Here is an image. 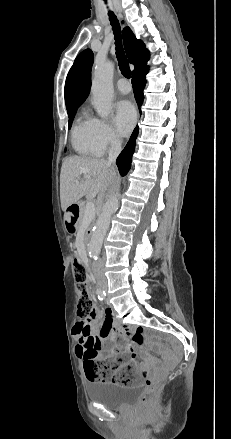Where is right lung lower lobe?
<instances>
[{
    "mask_svg": "<svg viewBox=\"0 0 231 439\" xmlns=\"http://www.w3.org/2000/svg\"><path fill=\"white\" fill-rule=\"evenodd\" d=\"M148 73V66L145 65L141 68H139L138 70H136L135 72H133V79H132V86H133V91H134V95H135V99L136 102L138 104L139 110H140V106L143 103V89L144 86L146 84V79H145V75ZM141 113V110H140ZM138 131L139 128L138 126H136V128L134 129L127 145L125 146V148L123 149V151L120 153V155L117 158V166L119 168V172L122 176L126 175L127 172L129 171L130 167H131V161H132V155L135 149V142H136V138L138 136Z\"/></svg>",
    "mask_w": 231,
    "mask_h": 439,
    "instance_id": "98d812e1",
    "label": "right lung lower lobe"
}]
</instances>
